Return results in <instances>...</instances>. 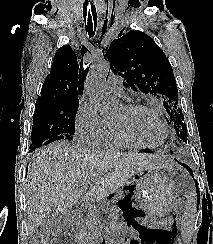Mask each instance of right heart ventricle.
I'll return each instance as SVG.
<instances>
[{
	"mask_svg": "<svg viewBox=\"0 0 213 244\" xmlns=\"http://www.w3.org/2000/svg\"><path fill=\"white\" fill-rule=\"evenodd\" d=\"M108 123H109V125H108L107 131L105 133V136L101 142V145L104 147H107L109 149H114V150L131 147V146L125 144L124 142H122L116 136L112 124L110 122H108Z\"/></svg>",
	"mask_w": 213,
	"mask_h": 244,
	"instance_id": "e07e8e85",
	"label": "right heart ventricle"
}]
</instances>
